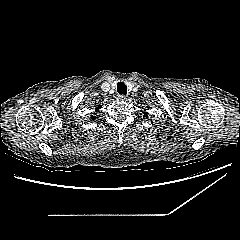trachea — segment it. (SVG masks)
Returning <instances> with one entry per match:
<instances>
[{"mask_svg": "<svg viewBox=\"0 0 240 240\" xmlns=\"http://www.w3.org/2000/svg\"><path fill=\"white\" fill-rule=\"evenodd\" d=\"M117 92L121 95L127 94V86L123 82L117 84Z\"/></svg>", "mask_w": 240, "mask_h": 240, "instance_id": "1", "label": "trachea"}]
</instances>
